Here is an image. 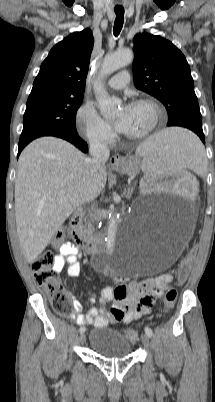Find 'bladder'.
Masks as SVG:
<instances>
[{"label": "bladder", "mask_w": 215, "mask_h": 402, "mask_svg": "<svg viewBox=\"0 0 215 402\" xmlns=\"http://www.w3.org/2000/svg\"><path fill=\"white\" fill-rule=\"evenodd\" d=\"M89 347L96 355L106 359H120L132 352L131 342L113 328H95L89 335Z\"/></svg>", "instance_id": "obj_1"}]
</instances>
